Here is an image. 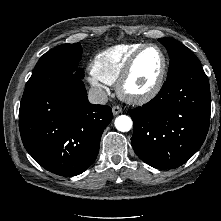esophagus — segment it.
<instances>
[{
    "label": "esophagus",
    "instance_id": "34e87169",
    "mask_svg": "<svg viewBox=\"0 0 221 221\" xmlns=\"http://www.w3.org/2000/svg\"><path fill=\"white\" fill-rule=\"evenodd\" d=\"M113 115H118L122 112V108L118 105L113 106L112 108Z\"/></svg>",
    "mask_w": 221,
    "mask_h": 221
}]
</instances>
